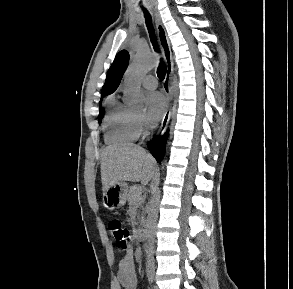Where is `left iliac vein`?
<instances>
[{
	"mask_svg": "<svg viewBox=\"0 0 293 289\" xmlns=\"http://www.w3.org/2000/svg\"><path fill=\"white\" fill-rule=\"evenodd\" d=\"M154 289H158V287L157 286H154Z\"/></svg>",
	"mask_w": 293,
	"mask_h": 289,
	"instance_id": "left-iliac-vein-1",
	"label": "left iliac vein"
}]
</instances>
